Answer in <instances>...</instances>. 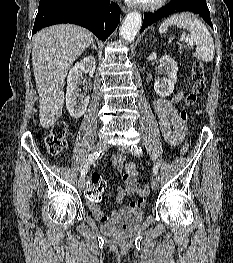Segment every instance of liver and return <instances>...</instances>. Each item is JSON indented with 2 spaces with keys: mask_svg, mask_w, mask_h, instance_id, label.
I'll use <instances>...</instances> for the list:
<instances>
[{
  "mask_svg": "<svg viewBox=\"0 0 233 263\" xmlns=\"http://www.w3.org/2000/svg\"><path fill=\"white\" fill-rule=\"evenodd\" d=\"M93 41L90 31L72 24L53 25L35 34L32 65L43 128L53 126L60 118L67 72Z\"/></svg>",
  "mask_w": 233,
  "mask_h": 263,
  "instance_id": "obj_1",
  "label": "liver"
}]
</instances>
